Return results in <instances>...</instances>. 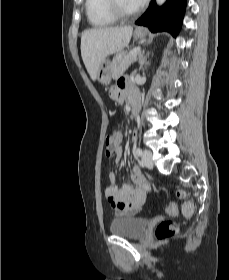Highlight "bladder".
I'll return each instance as SVG.
<instances>
[{
    "instance_id": "31cf9c89",
    "label": "bladder",
    "mask_w": 229,
    "mask_h": 280,
    "mask_svg": "<svg viewBox=\"0 0 229 280\" xmlns=\"http://www.w3.org/2000/svg\"><path fill=\"white\" fill-rule=\"evenodd\" d=\"M148 229V223L142 217H123L111 221L110 231L115 236L129 239L142 238Z\"/></svg>"
}]
</instances>
